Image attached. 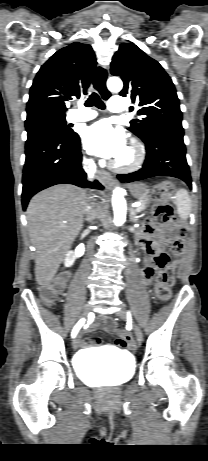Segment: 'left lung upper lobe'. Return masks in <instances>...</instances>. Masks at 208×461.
I'll use <instances>...</instances> for the list:
<instances>
[{
    "mask_svg": "<svg viewBox=\"0 0 208 461\" xmlns=\"http://www.w3.org/2000/svg\"><path fill=\"white\" fill-rule=\"evenodd\" d=\"M111 74L122 78L123 97H131L141 119L130 121L131 132L143 141L160 127L182 128V112L171 78L163 67L133 43H122L111 62ZM133 108V107H131Z\"/></svg>",
    "mask_w": 208,
    "mask_h": 461,
    "instance_id": "1",
    "label": "left lung upper lobe"
}]
</instances>
